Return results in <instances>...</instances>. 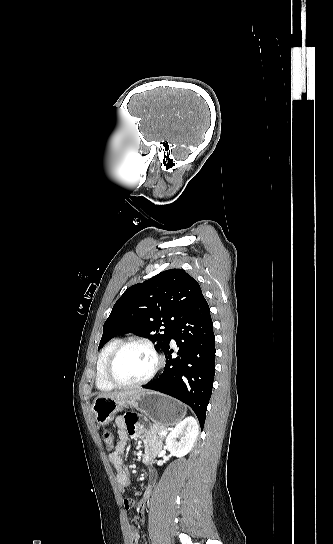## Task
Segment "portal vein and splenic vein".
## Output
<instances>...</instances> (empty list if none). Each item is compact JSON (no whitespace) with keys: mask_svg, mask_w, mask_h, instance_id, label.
<instances>
[{"mask_svg":"<svg viewBox=\"0 0 333 544\" xmlns=\"http://www.w3.org/2000/svg\"><path fill=\"white\" fill-rule=\"evenodd\" d=\"M166 434H167L166 431H162V432L160 433V435H166Z\"/></svg>","mask_w":333,"mask_h":544,"instance_id":"18ae733b","label":"portal vein and splenic vein"}]
</instances>
